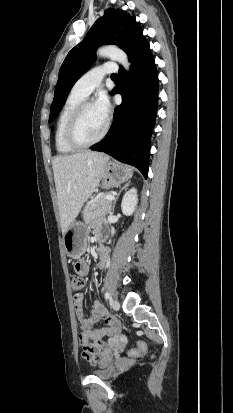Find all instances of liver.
<instances>
[{
    "instance_id": "1",
    "label": "liver",
    "mask_w": 233,
    "mask_h": 413,
    "mask_svg": "<svg viewBox=\"0 0 233 413\" xmlns=\"http://www.w3.org/2000/svg\"><path fill=\"white\" fill-rule=\"evenodd\" d=\"M108 161L104 153L92 151L54 158L52 167L63 234L99 185Z\"/></svg>"
}]
</instances>
